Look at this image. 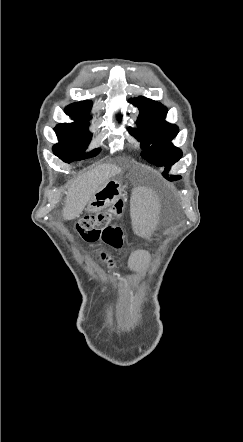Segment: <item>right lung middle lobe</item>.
<instances>
[{
    "instance_id": "1",
    "label": "right lung middle lobe",
    "mask_w": 243,
    "mask_h": 442,
    "mask_svg": "<svg viewBox=\"0 0 243 442\" xmlns=\"http://www.w3.org/2000/svg\"><path fill=\"white\" fill-rule=\"evenodd\" d=\"M73 118L75 122L62 123L54 128L59 139V143L53 147L54 154L67 163L92 157L100 152L98 148L91 151L89 155L84 154L92 136L88 131V119Z\"/></svg>"
}]
</instances>
